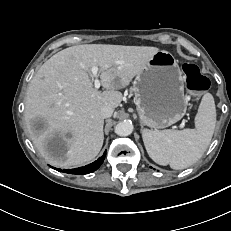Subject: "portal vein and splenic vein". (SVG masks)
<instances>
[{
  "instance_id": "obj_1",
  "label": "portal vein and splenic vein",
  "mask_w": 231,
  "mask_h": 231,
  "mask_svg": "<svg viewBox=\"0 0 231 231\" xmlns=\"http://www.w3.org/2000/svg\"><path fill=\"white\" fill-rule=\"evenodd\" d=\"M98 71H99V68L96 66H93L91 69L92 78L94 79V86L96 89H99L101 85L100 80L98 79Z\"/></svg>"
}]
</instances>
